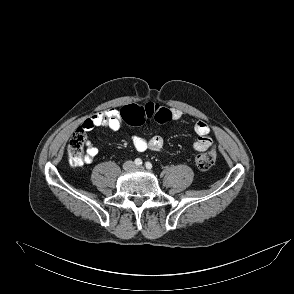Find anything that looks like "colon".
<instances>
[{
	"label": "colon",
	"instance_id": "colon-1",
	"mask_svg": "<svg viewBox=\"0 0 294 294\" xmlns=\"http://www.w3.org/2000/svg\"><path fill=\"white\" fill-rule=\"evenodd\" d=\"M120 117L124 123L134 126L142 125L149 119L160 124L172 120L170 109L154 103L127 105L120 110ZM85 138V132L82 128L77 129L70 137L67 152L69 162L72 166H80L83 164ZM215 161L216 153L211 149L200 152L196 156V165L203 171L210 169Z\"/></svg>",
	"mask_w": 294,
	"mask_h": 294
}]
</instances>
